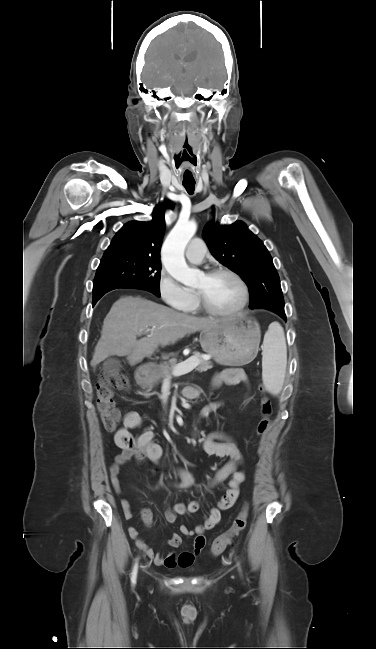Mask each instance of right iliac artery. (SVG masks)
<instances>
[{
  "label": "right iliac artery",
  "instance_id": "obj_1",
  "mask_svg": "<svg viewBox=\"0 0 376 649\" xmlns=\"http://www.w3.org/2000/svg\"><path fill=\"white\" fill-rule=\"evenodd\" d=\"M136 576H137V563L134 566L133 572H132V583L134 584L136 582Z\"/></svg>",
  "mask_w": 376,
  "mask_h": 649
}]
</instances>
